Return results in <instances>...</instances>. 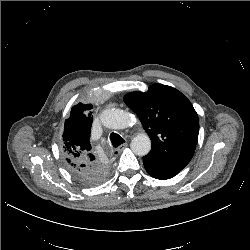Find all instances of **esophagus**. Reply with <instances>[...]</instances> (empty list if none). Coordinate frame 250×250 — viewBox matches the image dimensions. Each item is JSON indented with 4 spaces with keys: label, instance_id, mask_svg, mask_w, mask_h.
<instances>
[{
    "label": "esophagus",
    "instance_id": "obj_1",
    "mask_svg": "<svg viewBox=\"0 0 250 250\" xmlns=\"http://www.w3.org/2000/svg\"><path fill=\"white\" fill-rule=\"evenodd\" d=\"M126 147H127V143H124V144L120 145L115 151L117 153H120Z\"/></svg>",
    "mask_w": 250,
    "mask_h": 250
}]
</instances>
